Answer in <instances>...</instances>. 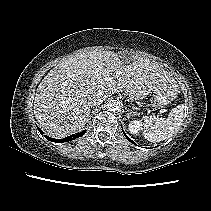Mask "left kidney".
<instances>
[{"label":"left kidney","mask_w":211,"mask_h":211,"mask_svg":"<svg viewBox=\"0 0 211 211\" xmlns=\"http://www.w3.org/2000/svg\"><path fill=\"white\" fill-rule=\"evenodd\" d=\"M142 124L139 120H132L131 122H129L128 124V130L130 131V133L132 135H138L139 131L141 130Z\"/></svg>","instance_id":"1"}]
</instances>
